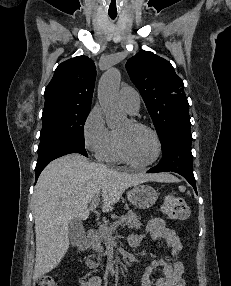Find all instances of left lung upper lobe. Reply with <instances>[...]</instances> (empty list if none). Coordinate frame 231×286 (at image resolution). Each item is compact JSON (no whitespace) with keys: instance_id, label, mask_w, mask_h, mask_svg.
Instances as JSON below:
<instances>
[{"instance_id":"obj_1","label":"left lung upper lobe","mask_w":231,"mask_h":286,"mask_svg":"<svg viewBox=\"0 0 231 286\" xmlns=\"http://www.w3.org/2000/svg\"><path fill=\"white\" fill-rule=\"evenodd\" d=\"M126 69L146 103L160 140L172 130L190 128L184 84L170 62L140 51L127 61Z\"/></svg>"}]
</instances>
